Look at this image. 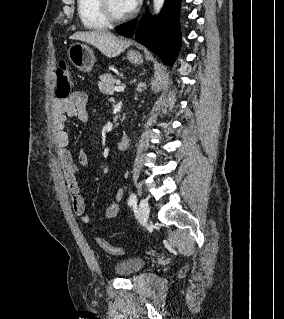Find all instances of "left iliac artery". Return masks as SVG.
<instances>
[{"label": "left iliac artery", "mask_w": 284, "mask_h": 319, "mask_svg": "<svg viewBox=\"0 0 284 319\" xmlns=\"http://www.w3.org/2000/svg\"><path fill=\"white\" fill-rule=\"evenodd\" d=\"M136 203H137V197L134 193H132L129 197L128 204L130 206H133V205H136Z\"/></svg>", "instance_id": "obj_1"}]
</instances>
